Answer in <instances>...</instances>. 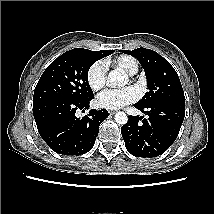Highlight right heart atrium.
<instances>
[{
  "label": "right heart atrium",
  "mask_w": 214,
  "mask_h": 214,
  "mask_svg": "<svg viewBox=\"0 0 214 214\" xmlns=\"http://www.w3.org/2000/svg\"><path fill=\"white\" fill-rule=\"evenodd\" d=\"M87 82L93 91H99L107 82V65L105 61L94 62L87 71Z\"/></svg>",
  "instance_id": "right-heart-atrium-1"
}]
</instances>
